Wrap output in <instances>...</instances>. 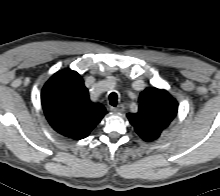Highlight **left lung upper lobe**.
<instances>
[{
  "label": "left lung upper lobe",
  "mask_w": 220,
  "mask_h": 196,
  "mask_svg": "<svg viewBox=\"0 0 220 196\" xmlns=\"http://www.w3.org/2000/svg\"><path fill=\"white\" fill-rule=\"evenodd\" d=\"M177 101L166 91L146 88L139 97L137 113L127 117L137 134L147 142L158 139L177 115Z\"/></svg>",
  "instance_id": "left-lung-upper-lobe-1"
}]
</instances>
